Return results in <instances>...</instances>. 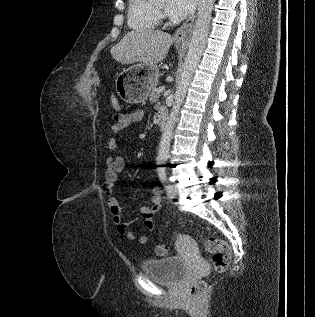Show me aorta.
<instances>
[{
	"label": "aorta",
	"mask_w": 315,
	"mask_h": 317,
	"mask_svg": "<svg viewBox=\"0 0 315 317\" xmlns=\"http://www.w3.org/2000/svg\"><path fill=\"white\" fill-rule=\"evenodd\" d=\"M214 2L215 0H199L195 27L180 75V81L176 87L175 101L159 143L158 161H165L168 159L170 142L179 110L187 93L195 68L201 59L206 45Z\"/></svg>",
	"instance_id": "aorta-1"
}]
</instances>
